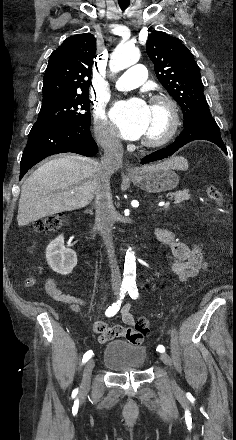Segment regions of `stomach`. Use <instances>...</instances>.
Returning <instances> with one entry per match:
<instances>
[{
  "mask_svg": "<svg viewBox=\"0 0 236 440\" xmlns=\"http://www.w3.org/2000/svg\"><path fill=\"white\" fill-rule=\"evenodd\" d=\"M182 162L181 169H186V160H183ZM129 178L136 186L149 193H159L172 190L176 188L179 183V176L174 171V168L167 167L141 169Z\"/></svg>",
  "mask_w": 236,
  "mask_h": 440,
  "instance_id": "stomach-1",
  "label": "stomach"
}]
</instances>
